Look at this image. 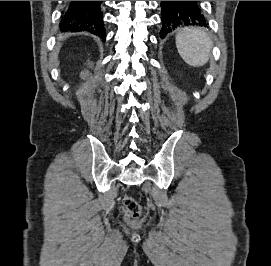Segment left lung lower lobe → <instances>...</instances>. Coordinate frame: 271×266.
Wrapping results in <instances>:
<instances>
[{
  "instance_id": "0a47b994",
  "label": "left lung lower lobe",
  "mask_w": 271,
  "mask_h": 266,
  "mask_svg": "<svg viewBox=\"0 0 271 266\" xmlns=\"http://www.w3.org/2000/svg\"><path fill=\"white\" fill-rule=\"evenodd\" d=\"M161 37L181 26H207L199 1H161Z\"/></svg>"
}]
</instances>
